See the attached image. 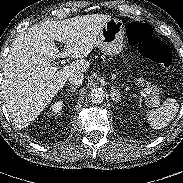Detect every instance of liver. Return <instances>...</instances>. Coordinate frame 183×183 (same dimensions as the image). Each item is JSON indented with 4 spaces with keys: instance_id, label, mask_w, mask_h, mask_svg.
Segmentation results:
<instances>
[{
    "instance_id": "1",
    "label": "liver",
    "mask_w": 183,
    "mask_h": 183,
    "mask_svg": "<svg viewBox=\"0 0 183 183\" xmlns=\"http://www.w3.org/2000/svg\"><path fill=\"white\" fill-rule=\"evenodd\" d=\"M110 19V15L91 14L48 20L34 24L14 39L5 59L1 89L7 111L18 127L24 128L34 121L70 75L87 71L89 63L84 58ZM56 41L64 44L63 53ZM60 56L77 60L59 71L51 70L52 62Z\"/></svg>"
}]
</instances>
